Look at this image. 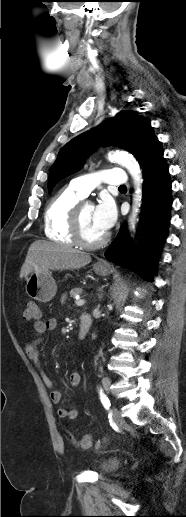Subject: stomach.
Returning a JSON list of instances; mask_svg holds the SVG:
<instances>
[{
	"label": "stomach",
	"mask_w": 186,
	"mask_h": 517,
	"mask_svg": "<svg viewBox=\"0 0 186 517\" xmlns=\"http://www.w3.org/2000/svg\"><path fill=\"white\" fill-rule=\"evenodd\" d=\"M94 271L97 275L100 276H106L110 273L109 267L105 264H95ZM25 290L29 297L46 303L52 300V298L55 296L57 292V285L50 271H46L40 274L32 273L27 278Z\"/></svg>",
	"instance_id": "0dacf381"
}]
</instances>
